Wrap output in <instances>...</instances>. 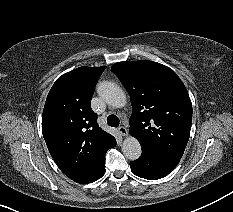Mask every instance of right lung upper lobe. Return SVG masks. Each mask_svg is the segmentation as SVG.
<instances>
[{
  "instance_id": "1",
  "label": "right lung upper lobe",
  "mask_w": 233,
  "mask_h": 212,
  "mask_svg": "<svg viewBox=\"0 0 233 212\" xmlns=\"http://www.w3.org/2000/svg\"><path fill=\"white\" fill-rule=\"evenodd\" d=\"M106 67H80L59 77L43 110L42 132L54 161L75 182L94 181L114 137L97 124L90 102Z\"/></svg>"
}]
</instances>
